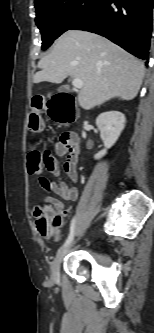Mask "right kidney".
<instances>
[{"instance_id": "ca27d5eb", "label": "right kidney", "mask_w": 154, "mask_h": 333, "mask_svg": "<svg viewBox=\"0 0 154 333\" xmlns=\"http://www.w3.org/2000/svg\"><path fill=\"white\" fill-rule=\"evenodd\" d=\"M125 122V115L119 111L104 112L97 117L96 125L100 130L104 149L94 156L95 159L103 157L107 150L115 144L125 127Z\"/></svg>"}]
</instances>
